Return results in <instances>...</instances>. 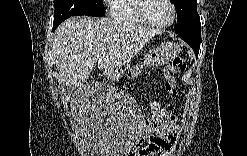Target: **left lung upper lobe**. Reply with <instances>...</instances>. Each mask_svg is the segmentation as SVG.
Listing matches in <instances>:
<instances>
[{
	"label": "left lung upper lobe",
	"instance_id": "left-lung-upper-lobe-1",
	"mask_svg": "<svg viewBox=\"0 0 247 156\" xmlns=\"http://www.w3.org/2000/svg\"><path fill=\"white\" fill-rule=\"evenodd\" d=\"M177 12L176 32H184L192 26L200 24L196 0H173Z\"/></svg>",
	"mask_w": 247,
	"mask_h": 156
}]
</instances>
